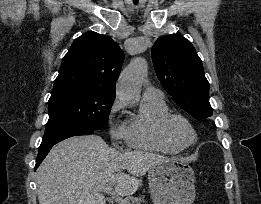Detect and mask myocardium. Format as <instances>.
Masks as SVG:
<instances>
[{"label":"myocardium","instance_id":"1","mask_svg":"<svg viewBox=\"0 0 261 204\" xmlns=\"http://www.w3.org/2000/svg\"><path fill=\"white\" fill-rule=\"evenodd\" d=\"M176 122H180L183 123L185 126H187V128L191 131L192 134V139L189 143L187 144H180L176 138L173 135L172 132V126L174 123ZM160 129H161V133L163 135V137L170 143L172 144L174 147H176L179 150L182 149H186L188 147H190L197 139V133L196 130L194 128V126L192 125V123L189 121L188 118H186L184 115L182 114H178V113H169L167 116H165L163 118V120L161 121L160 124Z\"/></svg>","mask_w":261,"mask_h":204}]
</instances>
